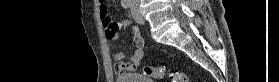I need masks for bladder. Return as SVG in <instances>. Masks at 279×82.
<instances>
[{"mask_svg": "<svg viewBox=\"0 0 279 82\" xmlns=\"http://www.w3.org/2000/svg\"><path fill=\"white\" fill-rule=\"evenodd\" d=\"M116 82H154L142 73H124L116 76Z\"/></svg>", "mask_w": 279, "mask_h": 82, "instance_id": "1", "label": "bladder"}]
</instances>
